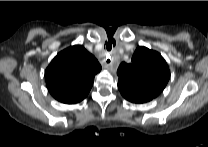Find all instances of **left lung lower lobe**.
<instances>
[{
	"label": "left lung lower lobe",
	"mask_w": 208,
	"mask_h": 147,
	"mask_svg": "<svg viewBox=\"0 0 208 147\" xmlns=\"http://www.w3.org/2000/svg\"><path fill=\"white\" fill-rule=\"evenodd\" d=\"M119 90L125 99H127L128 101L133 102V103H144V102H148V101L152 100L151 98H149L145 95H142L140 93L127 91L124 89H119Z\"/></svg>",
	"instance_id": "obj_1"
}]
</instances>
